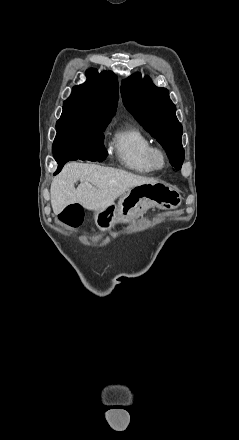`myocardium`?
<instances>
[{
	"mask_svg": "<svg viewBox=\"0 0 239 440\" xmlns=\"http://www.w3.org/2000/svg\"><path fill=\"white\" fill-rule=\"evenodd\" d=\"M149 158L155 170H163L167 166V154L161 147L153 146L150 150Z\"/></svg>",
	"mask_w": 239,
	"mask_h": 440,
	"instance_id": "obj_1",
	"label": "myocardium"
}]
</instances>
